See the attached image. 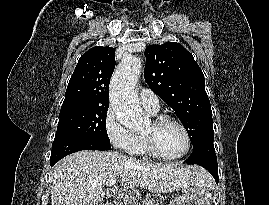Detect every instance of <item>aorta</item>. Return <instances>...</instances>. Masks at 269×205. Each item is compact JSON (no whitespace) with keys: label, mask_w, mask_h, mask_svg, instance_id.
I'll return each mask as SVG.
<instances>
[{"label":"aorta","mask_w":269,"mask_h":205,"mask_svg":"<svg viewBox=\"0 0 269 205\" xmlns=\"http://www.w3.org/2000/svg\"><path fill=\"white\" fill-rule=\"evenodd\" d=\"M141 70L140 58L125 56L115 70L110 83L112 111L121 124L132 129L139 128L146 121L136 94Z\"/></svg>","instance_id":"obj_1"}]
</instances>
